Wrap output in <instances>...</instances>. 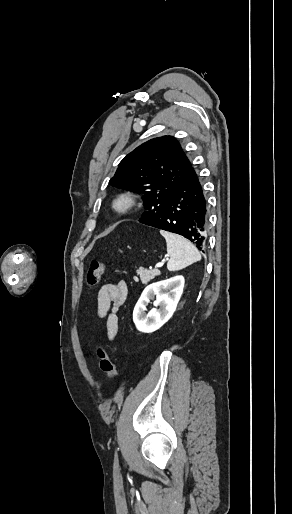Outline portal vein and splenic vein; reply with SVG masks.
Wrapping results in <instances>:
<instances>
[{"label":"portal vein and splenic vein","instance_id":"obj_1","mask_svg":"<svg viewBox=\"0 0 292 514\" xmlns=\"http://www.w3.org/2000/svg\"><path fill=\"white\" fill-rule=\"evenodd\" d=\"M164 262H160V264H156V268H162Z\"/></svg>","mask_w":292,"mask_h":514}]
</instances>
